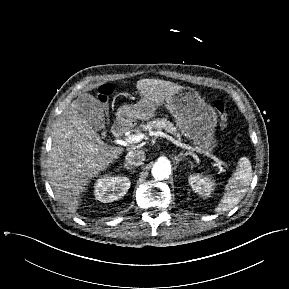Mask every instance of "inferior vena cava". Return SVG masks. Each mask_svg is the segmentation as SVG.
Returning <instances> with one entry per match:
<instances>
[{
    "mask_svg": "<svg viewBox=\"0 0 289 289\" xmlns=\"http://www.w3.org/2000/svg\"><path fill=\"white\" fill-rule=\"evenodd\" d=\"M145 152L143 150H131L127 153L125 159L129 165L140 166L145 161Z\"/></svg>",
    "mask_w": 289,
    "mask_h": 289,
    "instance_id": "1",
    "label": "inferior vena cava"
}]
</instances>
